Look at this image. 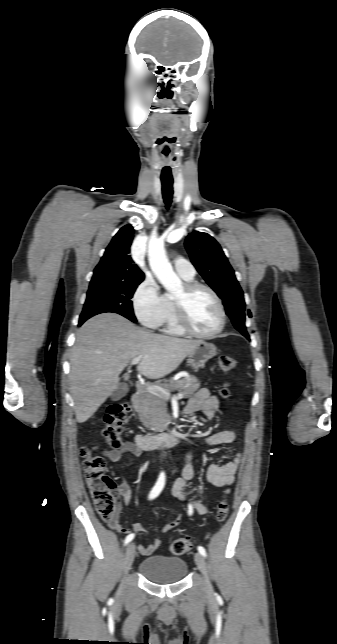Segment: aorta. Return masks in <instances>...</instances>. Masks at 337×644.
I'll use <instances>...</instances> for the list:
<instances>
[{"mask_svg":"<svg viewBox=\"0 0 337 644\" xmlns=\"http://www.w3.org/2000/svg\"><path fill=\"white\" fill-rule=\"evenodd\" d=\"M148 259L151 270L168 292L175 293L182 288V282L173 271L161 239L152 237L149 240Z\"/></svg>","mask_w":337,"mask_h":644,"instance_id":"obj_1","label":"aorta"}]
</instances>
